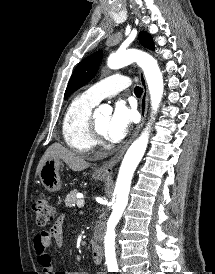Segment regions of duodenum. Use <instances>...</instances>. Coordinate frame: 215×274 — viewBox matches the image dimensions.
I'll use <instances>...</instances> for the list:
<instances>
[{
	"label": "duodenum",
	"instance_id": "duodenum-1",
	"mask_svg": "<svg viewBox=\"0 0 215 274\" xmlns=\"http://www.w3.org/2000/svg\"><path fill=\"white\" fill-rule=\"evenodd\" d=\"M91 254H92V259L93 262L97 265L101 264L103 261V250L101 248V246L96 243L93 242L91 244Z\"/></svg>",
	"mask_w": 215,
	"mask_h": 274
}]
</instances>
